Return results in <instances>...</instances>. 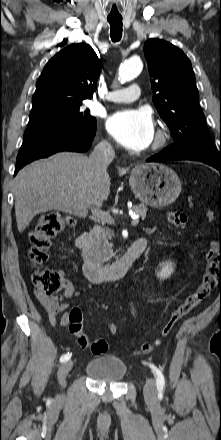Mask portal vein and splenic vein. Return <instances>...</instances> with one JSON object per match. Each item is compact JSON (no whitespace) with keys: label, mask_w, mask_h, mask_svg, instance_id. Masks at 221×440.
<instances>
[{"label":"portal vein and splenic vein","mask_w":221,"mask_h":440,"mask_svg":"<svg viewBox=\"0 0 221 440\" xmlns=\"http://www.w3.org/2000/svg\"><path fill=\"white\" fill-rule=\"evenodd\" d=\"M91 211H92V214L95 217H97L98 219H100L101 221L109 223V224H114L115 221L109 213L102 211L100 209H94V208ZM138 223H139V219L137 217L133 218L131 221V224L133 226H136Z\"/></svg>","instance_id":"portal-vein-and-splenic-vein-1"}]
</instances>
